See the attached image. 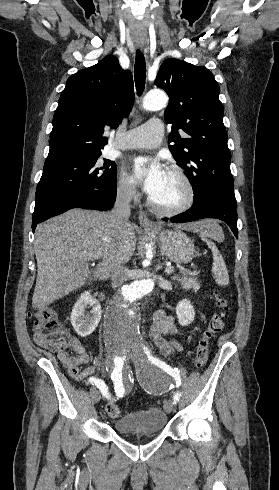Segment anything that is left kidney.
Listing matches in <instances>:
<instances>
[{
  "label": "left kidney",
  "instance_id": "1",
  "mask_svg": "<svg viewBox=\"0 0 279 490\" xmlns=\"http://www.w3.org/2000/svg\"><path fill=\"white\" fill-rule=\"evenodd\" d=\"M175 310L180 326H189V324H192L193 320H195V310L192 306V302L187 300V298H185V300H180Z\"/></svg>",
  "mask_w": 279,
  "mask_h": 490
}]
</instances>
